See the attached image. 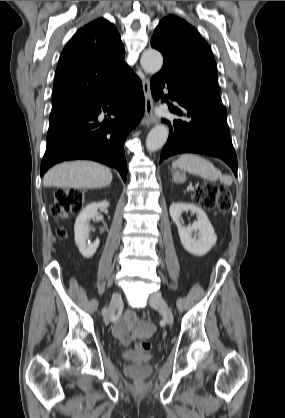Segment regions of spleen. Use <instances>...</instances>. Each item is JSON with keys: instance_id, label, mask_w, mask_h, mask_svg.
<instances>
[{"instance_id": "3e777b00", "label": "spleen", "mask_w": 285, "mask_h": 418, "mask_svg": "<svg viewBox=\"0 0 285 418\" xmlns=\"http://www.w3.org/2000/svg\"><path fill=\"white\" fill-rule=\"evenodd\" d=\"M172 166L210 181L220 180L226 185H231L233 182L232 177L222 175L221 171L215 168L210 161L199 155L183 154L173 162Z\"/></svg>"}]
</instances>
